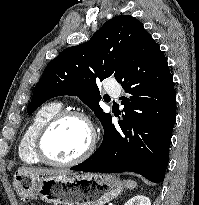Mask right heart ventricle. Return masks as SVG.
<instances>
[{"instance_id":"obj_1","label":"right heart ventricle","mask_w":199,"mask_h":205,"mask_svg":"<svg viewBox=\"0 0 199 205\" xmlns=\"http://www.w3.org/2000/svg\"><path fill=\"white\" fill-rule=\"evenodd\" d=\"M62 108L60 102L52 101L41 106L26 126L18 146L20 159L29 165L40 164L41 161L34 152V141L38 130L54 114Z\"/></svg>"}]
</instances>
